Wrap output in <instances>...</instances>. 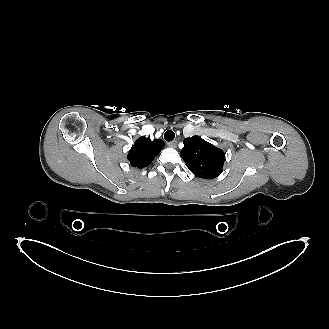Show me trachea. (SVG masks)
I'll return each instance as SVG.
<instances>
[{
  "label": "trachea",
  "mask_w": 329,
  "mask_h": 329,
  "mask_svg": "<svg viewBox=\"0 0 329 329\" xmlns=\"http://www.w3.org/2000/svg\"><path fill=\"white\" fill-rule=\"evenodd\" d=\"M166 141H173L175 138V133L172 130H167L164 134Z\"/></svg>",
  "instance_id": "1"
}]
</instances>
